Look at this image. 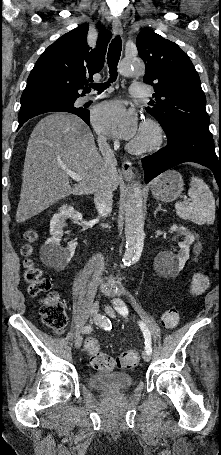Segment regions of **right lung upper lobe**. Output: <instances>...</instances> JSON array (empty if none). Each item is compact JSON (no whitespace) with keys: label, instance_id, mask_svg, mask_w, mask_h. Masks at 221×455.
<instances>
[{"label":"right lung upper lobe","instance_id":"1","mask_svg":"<svg viewBox=\"0 0 221 455\" xmlns=\"http://www.w3.org/2000/svg\"><path fill=\"white\" fill-rule=\"evenodd\" d=\"M88 28V24L78 26L43 52L28 77L20 111L51 107L89 92L88 82L103 68L112 34L101 28L96 48L90 49Z\"/></svg>","mask_w":221,"mask_h":455}]
</instances>
